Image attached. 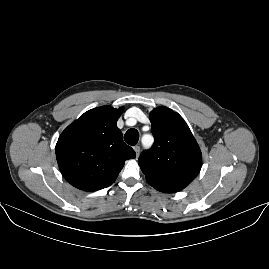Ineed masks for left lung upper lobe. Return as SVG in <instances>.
Segmentation results:
<instances>
[{"mask_svg":"<svg viewBox=\"0 0 269 269\" xmlns=\"http://www.w3.org/2000/svg\"><path fill=\"white\" fill-rule=\"evenodd\" d=\"M149 117L154 144L138 160L147 182L186 187L202 166L196 140L181 116L169 108H156Z\"/></svg>","mask_w":269,"mask_h":269,"instance_id":"1","label":"left lung upper lobe"}]
</instances>
